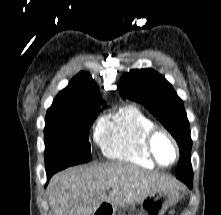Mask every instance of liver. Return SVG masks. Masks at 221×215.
<instances>
[{"label": "liver", "instance_id": "liver-1", "mask_svg": "<svg viewBox=\"0 0 221 215\" xmlns=\"http://www.w3.org/2000/svg\"><path fill=\"white\" fill-rule=\"evenodd\" d=\"M179 188L170 176L112 162L59 172L50 180L47 192L54 215H91L103 202L117 209L139 202L154 191Z\"/></svg>", "mask_w": 221, "mask_h": 215}]
</instances>
